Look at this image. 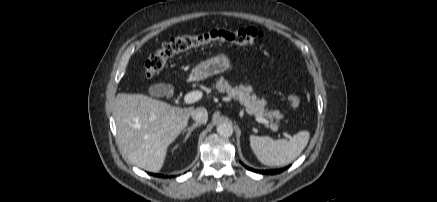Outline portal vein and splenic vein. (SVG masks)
Returning <instances> with one entry per match:
<instances>
[{"label":"portal vein and splenic vein","mask_w":437,"mask_h":202,"mask_svg":"<svg viewBox=\"0 0 437 202\" xmlns=\"http://www.w3.org/2000/svg\"><path fill=\"white\" fill-rule=\"evenodd\" d=\"M201 97H202V93L200 91H192V92L187 93L184 96V102L186 104H191V103H194V102H197L198 100H200ZM256 120L259 123H262V124H265V125L269 124V121L267 119H265V118H262V117H256ZM285 136L287 138H291V136L288 135V134H285Z\"/></svg>","instance_id":"portal-vein-and-splenic-vein-1"}]
</instances>
